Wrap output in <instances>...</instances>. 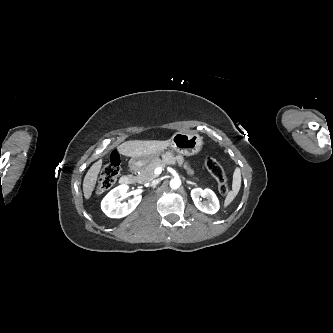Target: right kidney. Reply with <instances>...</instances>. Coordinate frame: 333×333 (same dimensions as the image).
Segmentation results:
<instances>
[{"instance_id":"1","label":"right kidney","mask_w":333,"mask_h":333,"mask_svg":"<svg viewBox=\"0 0 333 333\" xmlns=\"http://www.w3.org/2000/svg\"><path fill=\"white\" fill-rule=\"evenodd\" d=\"M129 185L122 184L112 189L102 200V211L111 218H122L130 214L141 202L142 196L138 195L128 200V202L120 203L117 200L125 196L128 192Z\"/></svg>"}]
</instances>
